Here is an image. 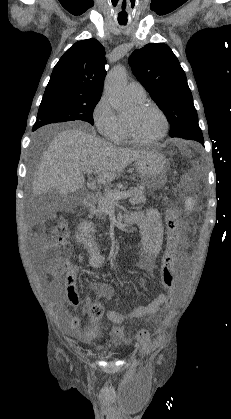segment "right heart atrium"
<instances>
[{
    "label": "right heart atrium",
    "mask_w": 231,
    "mask_h": 419,
    "mask_svg": "<svg viewBox=\"0 0 231 419\" xmlns=\"http://www.w3.org/2000/svg\"><path fill=\"white\" fill-rule=\"evenodd\" d=\"M93 120L100 134L109 140L117 141L124 133L120 116L114 111L108 97L102 95L93 109Z\"/></svg>",
    "instance_id": "d8ad5b80"
}]
</instances>
